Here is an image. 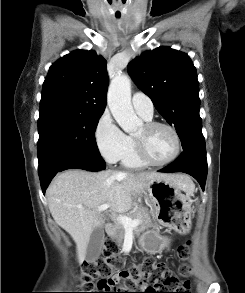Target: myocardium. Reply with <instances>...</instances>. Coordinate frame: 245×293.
<instances>
[{
  "label": "myocardium",
  "instance_id": "1",
  "mask_svg": "<svg viewBox=\"0 0 245 293\" xmlns=\"http://www.w3.org/2000/svg\"><path fill=\"white\" fill-rule=\"evenodd\" d=\"M144 126L147 129H154L157 127H162V128L168 129L173 135L175 148H174V152L170 158H168L164 161L156 162V161L151 160L148 157V155L145 152L143 144L137 138H134L135 149H136V153H137V156L139 157V159L144 164L149 165V166H154V167L165 166V165H168V164L172 163L173 161H175L181 152V138H180L178 131L173 126H171L167 123H163V122L151 121V122H147Z\"/></svg>",
  "mask_w": 245,
  "mask_h": 293
}]
</instances>
